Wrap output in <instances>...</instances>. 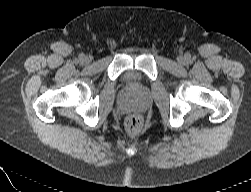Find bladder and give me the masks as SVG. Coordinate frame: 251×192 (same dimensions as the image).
Wrapping results in <instances>:
<instances>
[{"label":"bladder","instance_id":"obj_1","mask_svg":"<svg viewBox=\"0 0 251 192\" xmlns=\"http://www.w3.org/2000/svg\"><path fill=\"white\" fill-rule=\"evenodd\" d=\"M135 73L134 72H127L126 74H125V79L126 80H133V79H135Z\"/></svg>","mask_w":251,"mask_h":192}]
</instances>
